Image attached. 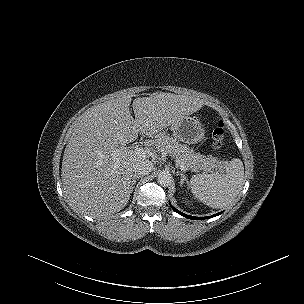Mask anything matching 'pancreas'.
I'll return each instance as SVG.
<instances>
[{
    "instance_id": "pancreas-1",
    "label": "pancreas",
    "mask_w": 304,
    "mask_h": 304,
    "mask_svg": "<svg viewBox=\"0 0 304 304\" xmlns=\"http://www.w3.org/2000/svg\"><path fill=\"white\" fill-rule=\"evenodd\" d=\"M156 143L158 149L172 156L178 165H184L194 172H211L212 170H220L224 166V162L218 158L195 153L187 145L179 143L168 135L159 137Z\"/></svg>"
}]
</instances>
